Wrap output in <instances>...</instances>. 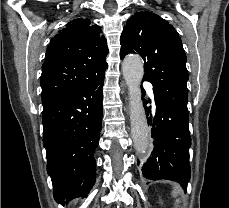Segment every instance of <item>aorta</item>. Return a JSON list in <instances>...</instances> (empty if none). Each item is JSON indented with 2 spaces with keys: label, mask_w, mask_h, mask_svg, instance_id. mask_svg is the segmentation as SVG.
<instances>
[{
  "label": "aorta",
  "mask_w": 229,
  "mask_h": 208,
  "mask_svg": "<svg viewBox=\"0 0 229 208\" xmlns=\"http://www.w3.org/2000/svg\"><path fill=\"white\" fill-rule=\"evenodd\" d=\"M122 72L129 92L134 147L138 154L145 155L149 148V127L142 103L141 82L144 68L141 58L138 55L125 57L122 63Z\"/></svg>",
  "instance_id": "1"
}]
</instances>
